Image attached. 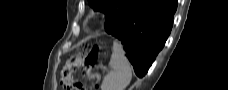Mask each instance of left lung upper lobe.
<instances>
[{
	"label": "left lung upper lobe",
	"instance_id": "5c2ea615",
	"mask_svg": "<svg viewBox=\"0 0 228 90\" xmlns=\"http://www.w3.org/2000/svg\"><path fill=\"white\" fill-rule=\"evenodd\" d=\"M129 1L130 0H88L92 8L101 10L106 14V29L127 9Z\"/></svg>",
	"mask_w": 228,
	"mask_h": 90
}]
</instances>
